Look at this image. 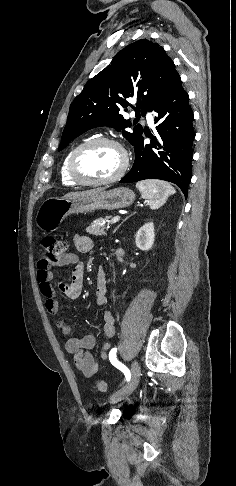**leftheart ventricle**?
<instances>
[{"instance_id":"1","label":"left heart ventricle","mask_w":236,"mask_h":486,"mask_svg":"<svg viewBox=\"0 0 236 486\" xmlns=\"http://www.w3.org/2000/svg\"><path fill=\"white\" fill-rule=\"evenodd\" d=\"M122 165V154L109 144H97L86 149L79 157V172L90 179H105L118 172Z\"/></svg>"}]
</instances>
